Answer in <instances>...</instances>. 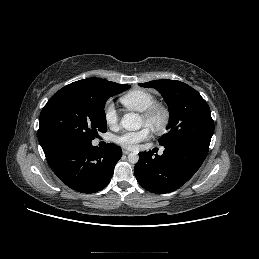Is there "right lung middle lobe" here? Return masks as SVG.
Wrapping results in <instances>:
<instances>
[{
    "label": "right lung middle lobe",
    "mask_w": 259,
    "mask_h": 259,
    "mask_svg": "<svg viewBox=\"0 0 259 259\" xmlns=\"http://www.w3.org/2000/svg\"><path fill=\"white\" fill-rule=\"evenodd\" d=\"M129 88L130 85L111 81L99 86L63 87L41 111L38 130L41 146L63 138L92 141L98 132H106V101Z\"/></svg>",
    "instance_id": "dd1d6c3e"
}]
</instances>
